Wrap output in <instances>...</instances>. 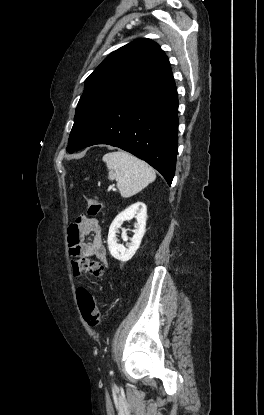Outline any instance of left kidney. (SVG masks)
Masks as SVG:
<instances>
[{
	"mask_svg": "<svg viewBox=\"0 0 264 415\" xmlns=\"http://www.w3.org/2000/svg\"><path fill=\"white\" fill-rule=\"evenodd\" d=\"M133 217L136 218L137 223L135 224V229L133 230L134 235L130 239L131 242L127 243L126 248L124 245L118 243L116 233L124 221L131 220ZM146 219L147 207L142 202H137L129 206L116 216L110 225L108 233L109 252L115 259L121 262H127L134 256L145 233ZM121 237L123 241H128L125 230H122Z\"/></svg>",
	"mask_w": 264,
	"mask_h": 415,
	"instance_id": "left-kidney-1",
	"label": "left kidney"
}]
</instances>
